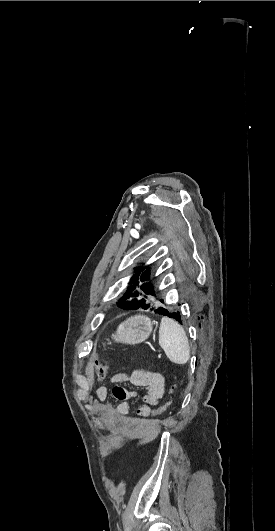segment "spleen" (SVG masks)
<instances>
[{
	"label": "spleen",
	"instance_id": "1",
	"mask_svg": "<svg viewBox=\"0 0 275 531\" xmlns=\"http://www.w3.org/2000/svg\"><path fill=\"white\" fill-rule=\"evenodd\" d=\"M159 345L166 357L176 363L185 365L189 361L190 347L186 333L177 321L162 317L159 329Z\"/></svg>",
	"mask_w": 275,
	"mask_h": 531
}]
</instances>
